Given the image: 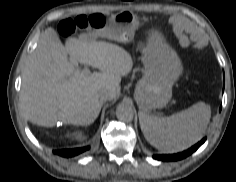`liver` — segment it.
Segmentation results:
<instances>
[{"label": "liver", "instance_id": "1", "mask_svg": "<svg viewBox=\"0 0 236 182\" xmlns=\"http://www.w3.org/2000/svg\"><path fill=\"white\" fill-rule=\"evenodd\" d=\"M100 70L93 74L75 69V63ZM133 67L131 55L122 47L80 35L61 43L53 28L40 36L22 73L21 109L33 124L53 127L57 121L92 124L103 102L98 94L108 90L112 99L120 92L121 77Z\"/></svg>", "mask_w": 236, "mask_h": 182}]
</instances>
